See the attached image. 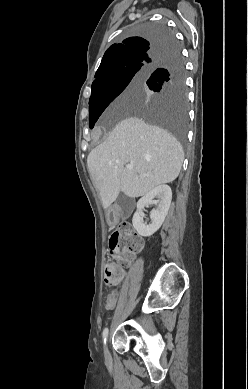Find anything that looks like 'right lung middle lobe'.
Listing matches in <instances>:
<instances>
[{
    "instance_id": "obj_1",
    "label": "right lung middle lobe",
    "mask_w": 248,
    "mask_h": 389,
    "mask_svg": "<svg viewBox=\"0 0 248 389\" xmlns=\"http://www.w3.org/2000/svg\"><path fill=\"white\" fill-rule=\"evenodd\" d=\"M140 33L151 41L168 39L173 35L163 25H146ZM156 69L165 70L164 75L151 76ZM154 92L150 101L138 103L135 100L122 104L120 109L135 114L151 124L161 126L182 143L186 140L187 97L185 91L184 62L178 46L157 56L156 63L142 68L134 66L113 70L101 76L92 84L89 100V126L92 129L106 107L132 82L144 83Z\"/></svg>"
}]
</instances>
